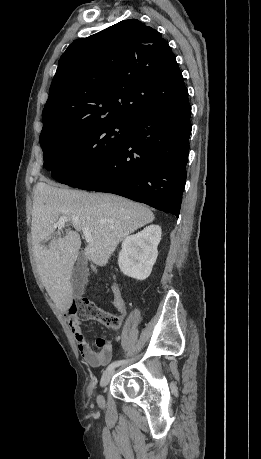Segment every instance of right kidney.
Returning a JSON list of instances; mask_svg holds the SVG:
<instances>
[{"label": "right kidney", "instance_id": "1", "mask_svg": "<svg viewBox=\"0 0 261 459\" xmlns=\"http://www.w3.org/2000/svg\"><path fill=\"white\" fill-rule=\"evenodd\" d=\"M161 234L160 226L150 225L123 240L118 265L124 275L137 280H144L150 275L158 256Z\"/></svg>", "mask_w": 261, "mask_h": 459}]
</instances>
